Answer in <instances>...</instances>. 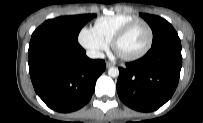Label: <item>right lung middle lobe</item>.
Wrapping results in <instances>:
<instances>
[{"label": "right lung middle lobe", "instance_id": "dd1d6c3e", "mask_svg": "<svg viewBox=\"0 0 203 123\" xmlns=\"http://www.w3.org/2000/svg\"><path fill=\"white\" fill-rule=\"evenodd\" d=\"M94 17V14H84L61 16L47 20L33 32L32 37L51 36L63 40L78 42V34L80 30Z\"/></svg>", "mask_w": 203, "mask_h": 123}]
</instances>
